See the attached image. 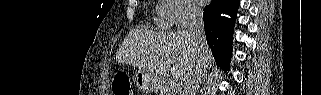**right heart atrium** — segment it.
Returning a JSON list of instances; mask_svg holds the SVG:
<instances>
[{"label":"right heart atrium","mask_w":321,"mask_h":95,"mask_svg":"<svg viewBox=\"0 0 321 95\" xmlns=\"http://www.w3.org/2000/svg\"><path fill=\"white\" fill-rule=\"evenodd\" d=\"M163 15L173 25H187L196 20L200 11L190 0H162L160 4Z\"/></svg>","instance_id":"right-heart-atrium-1"}]
</instances>
